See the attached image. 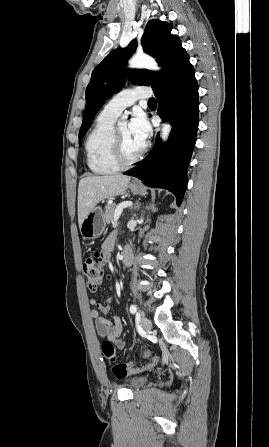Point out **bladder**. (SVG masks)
Returning <instances> with one entry per match:
<instances>
[{"label":"bladder","instance_id":"obj_1","mask_svg":"<svg viewBox=\"0 0 269 447\" xmlns=\"http://www.w3.org/2000/svg\"><path fill=\"white\" fill-rule=\"evenodd\" d=\"M149 378H150L149 374L134 373L133 375L124 378V386L133 389L142 388L146 385Z\"/></svg>","mask_w":269,"mask_h":447}]
</instances>
